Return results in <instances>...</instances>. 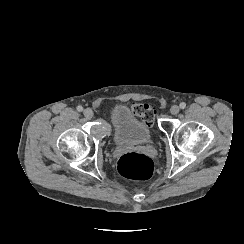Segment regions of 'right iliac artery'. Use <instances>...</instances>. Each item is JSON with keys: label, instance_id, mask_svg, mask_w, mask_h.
Listing matches in <instances>:
<instances>
[{"label": "right iliac artery", "instance_id": "right-iliac-artery-1", "mask_svg": "<svg viewBox=\"0 0 244 244\" xmlns=\"http://www.w3.org/2000/svg\"><path fill=\"white\" fill-rule=\"evenodd\" d=\"M77 111H79V112L83 111V107L82 106H78L77 107Z\"/></svg>", "mask_w": 244, "mask_h": 244}]
</instances>
